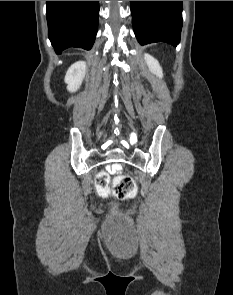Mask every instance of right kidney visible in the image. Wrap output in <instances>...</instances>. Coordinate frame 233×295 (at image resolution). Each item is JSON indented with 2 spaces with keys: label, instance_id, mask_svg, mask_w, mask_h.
Listing matches in <instances>:
<instances>
[{
  "label": "right kidney",
  "instance_id": "right-kidney-1",
  "mask_svg": "<svg viewBox=\"0 0 233 295\" xmlns=\"http://www.w3.org/2000/svg\"><path fill=\"white\" fill-rule=\"evenodd\" d=\"M86 73V63L79 61L74 63L67 71L65 76V83L67 84V89L70 92L77 91L83 81Z\"/></svg>",
  "mask_w": 233,
  "mask_h": 295
}]
</instances>
